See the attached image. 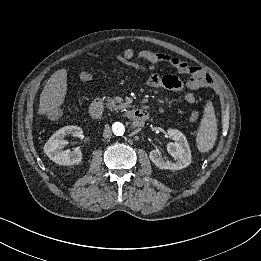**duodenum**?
Segmentation results:
<instances>
[{"label": "duodenum", "mask_w": 261, "mask_h": 261, "mask_svg": "<svg viewBox=\"0 0 261 261\" xmlns=\"http://www.w3.org/2000/svg\"><path fill=\"white\" fill-rule=\"evenodd\" d=\"M90 114L96 119H102L105 116V111L101 101L97 100L92 103ZM128 117L134 122L135 125L140 126L148 119L149 113L144 109H132L129 111Z\"/></svg>", "instance_id": "duodenum-1"}]
</instances>
